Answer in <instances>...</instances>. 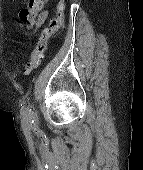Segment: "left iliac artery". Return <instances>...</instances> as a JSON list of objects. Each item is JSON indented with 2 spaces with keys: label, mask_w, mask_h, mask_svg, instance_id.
Listing matches in <instances>:
<instances>
[{
  "label": "left iliac artery",
  "mask_w": 143,
  "mask_h": 170,
  "mask_svg": "<svg viewBox=\"0 0 143 170\" xmlns=\"http://www.w3.org/2000/svg\"><path fill=\"white\" fill-rule=\"evenodd\" d=\"M26 115L28 117L29 127L33 131L39 132V128H38V125H37V115H36V113L33 110L28 109Z\"/></svg>",
  "instance_id": "44dca946"
}]
</instances>
